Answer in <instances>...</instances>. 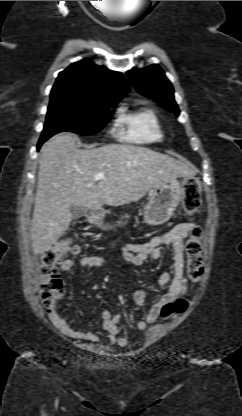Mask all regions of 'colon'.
Instances as JSON below:
<instances>
[{"mask_svg":"<svg viewBox=\"0 0 242 416\" xmlns=\"http://www.w3.org/2000/svg\"><path fill=\"white\" fill-rule=\"evenodd\" d=\"M183 207L189 216L194 215L201 205L200 180L197 177L187 179L183 186ZM79 249L72 246L66 239L60 240L50 246L41 258L42 281L39 286V295L43 305L50 314L57 313L58 303L63 296V282L60 277L58 266L69 254H77ZM187 273L189 279L197 283L203 276L202 265V229L195 226L191 229L186 242ZM189 308L186 299H178L165 304L161 309L163 318L172 315L183 314Z\"/></svg>","mask_w":242,"mask_h":416,"instance_id":"colon-1","label":"colon"}]
</instances>
